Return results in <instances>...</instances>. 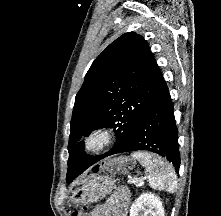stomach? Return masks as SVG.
<instances>
[{
    "mask_svg": "<svg viewBox=\"0 0 221 216\" xmlns=\"http://www.w3.org/2000/svg\"><path fill=\"white\" fill-rule=\"evenodd\" d=\"M114 188L115 183L111 176H90L81 187L73 191L70 201L76 206L94 203L105 198Z\"/></svg>",
    "mask_w": 221,
    "mask_h": 216,
    "instance_id": "1",
    "label": "stomach"
}]
</instances>
